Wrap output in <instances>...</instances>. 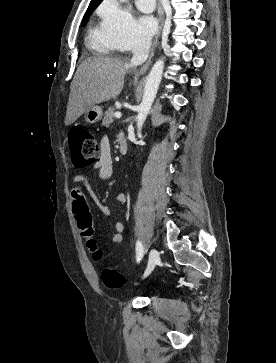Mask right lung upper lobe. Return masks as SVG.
<instances>
[{"mask_svg": "<svg viewBox=\"0 0 276 363\" xmlns=\"http://www.w3.org/2000/svg\"><path fill=\"white\" fill-rule=\"evenodd\" d=\"M101 0H91L90 4H89V7H92V6H98V4L100 3ZM88 7V8H89Z\"/></svg>", "mask_w": 276, "mask_h": 363, "instance_id": "obj_1", "label": "right lung upper lobe"}]
</instances>
